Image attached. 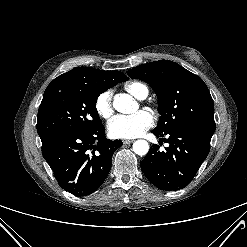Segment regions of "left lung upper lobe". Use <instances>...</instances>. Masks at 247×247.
Listing matches in <instances>:
<instances>
[{
	"label": "left lung upper lobe",
	"mask_w": 247,
	"mask_h": 247,
	"mask_svg": "<svg viewBox=\"0 0 247 247\" xmlns=\"http://www.w3.org/2000/svg\"><path fill=\"white\" fill-rule=\"evenodd\" d=\"M127 74L150 84L157 95L161 116L153 131L167 133L185 127L213 135L214 103L200 77L169 60L143 64Z\"/></svg>",
	"instance_id": "1"
}]
</instances>
